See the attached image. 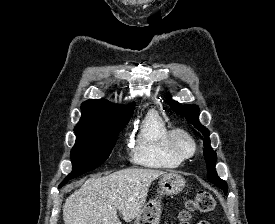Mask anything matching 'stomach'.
I'll list each match as a JSON object with an SVG mask.
<instances>
[{"instance_id": "0dacf381", "label": "stomach", "mask_w": 275, "mask_h": 224, "mask_svg": "<svg viewBox=\"0 0 275 224\" xmlns=\"http://www.w3.org/2000/svg\"><path fill=\"white\" fill-rule=\"evenodd\" d=\"M185 186V179L178 174L169 173L159 181L160 195H175L180 193ZM161 216V202L159 199L150 200L138 214L134 224H159Z\"/></svg>"}]
</instances>
